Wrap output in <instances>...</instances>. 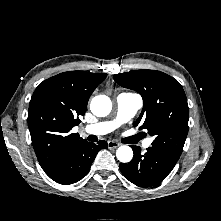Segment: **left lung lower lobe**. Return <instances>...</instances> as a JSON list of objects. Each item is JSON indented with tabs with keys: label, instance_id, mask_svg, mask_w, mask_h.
I'll return each mask as SVG.
<instances>
[{
	"label": "left lung lower lobe",
	"instance_id": "obj_1",
	"mask_svg": "<svg viewBox=\"0 0 221 221\" xmlns=\"http://www.w3.org/2000/svg\"><path fill=\"white\" fill-rule=\"evenodd\" d=\"M134 149L133 159L121 163L119 168L122 174L133 184L140 187H151L161 182L172 171L179 156L158 147H149L144 155L140 148Z\"/></svg>",
	"mask_w": 221,
	"mask_h": 221
}]
</instances>
